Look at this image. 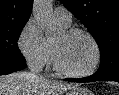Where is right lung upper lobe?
I'll return each mask as SVG.
<instances>
[{"label":"right lung upper lobe","instance_id":"obj_1","mask_svg":"<svg viewBox=\"0 0 119 95\" xmlns=\"http://www.w3.org/2000/svg\"><path fill=\"white\" fill-rule=\"evenodd\" d=\"M33 0H0V26L26 22Z\"/></svg>","mask_w":119,"mask_h":95}]
</instances>
